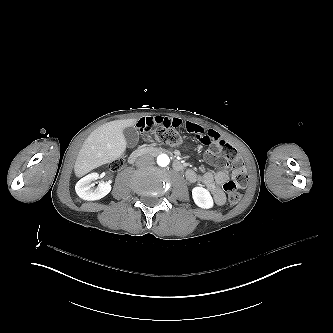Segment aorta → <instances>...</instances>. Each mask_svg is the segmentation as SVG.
Segmentation results:
<instances>
[{
	"mask_svg": "<svg viewBox=\"0 0 333 333\" xmlns=\"http://www.w3.org/2000/svg\"><path fill=\"white\" fill-rule=\"evenodd\" d=\"M157 163L161 167H166L170 163V159L166 154H161L157 157Z\"/></svg>",
	"mask_w": 333,
	"mask_h": 333,
	"instance_id": "762f6f07",
	"label": "aorta"
}]
</instances>
